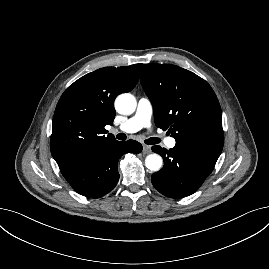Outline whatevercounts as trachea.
<instances>
[{"instance_id":"3493384b","label":"trachea","mask_w":269,"mask_h":269,"mask_svg":"<svg viewBox=\"0 0 269 269\" xmlns=\"http://www.w3.org/2000/svg\"><path fill=\"white\" fill-rule=\"evenodd\" d=\"M117 139L126 140V135L124 133H120L117 135ZM159 142H160V140L158 138H149V139L145 140V143L149 144V145L157 144Z\"/></svg>"}]
</instances>
